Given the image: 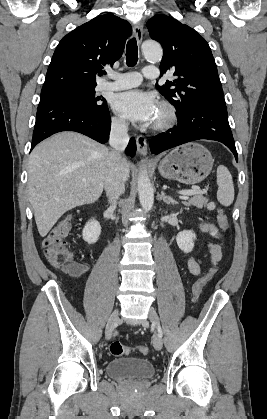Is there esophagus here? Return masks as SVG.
Masks as SVG:
<instances>
[{
  "instance_id": "34e87169",
  "label": "esophagus",
  "mask_w": 267,
  "mask_h": 419,
  "mask_svg": "<svg viewBox=\"0 0 267 419\" xmlns=\"http://www.w3.org/2000/svg\"><path fill=\"white\" fill-rule=\"evenodd\" d=\"M133 33L140 44L143 39V25L142 23H136L133 25ZM137 150L141 155H147V142L144 136L138 135L136 138Z\"/></svg>"
}]
</instances>
